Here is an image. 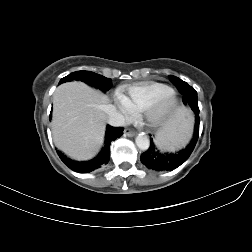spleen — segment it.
<instances>
[{
  "instance_id": "obj_1",
  "label": "spleen",
  "mask_w": 252,
  "mask_h": 252,
  "mask_svg": "<svg viewBox=\"0 0 252 252\" xmlns=\"http://www.w3.org/2000/svg\"><path fill=\"white\" fill-rule=\"evenodd\" d=\"M192 132V117L186 109L180 108L168 124L157 133L156 144L161 149L175 150L184 146Z\"/></svg>"
}]
</instances>
